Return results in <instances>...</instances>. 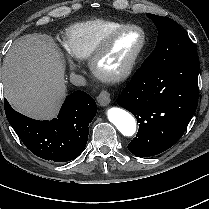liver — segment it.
<instances>
[{
    "mask_svg": "<svg viewBox=\"0 0 209 209\" xmlns=\"http://www.w3.org/2000/svg\"><path fill=\"white\" fill-rule=\"evenodd\" d=\"M64 73L61 52L51 38L24 35L13 42L3 60L4 95L27 116L53 118L67 90Z\"/></svg>",
    "mask_w": 209,
    "mask_h": 209,
    "instance_id": "liver-1",
    "label": "liver"
}]
</instances>
